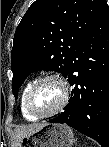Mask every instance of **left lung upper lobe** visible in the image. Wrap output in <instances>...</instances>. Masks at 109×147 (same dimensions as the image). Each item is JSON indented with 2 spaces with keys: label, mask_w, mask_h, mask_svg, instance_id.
Listing matches in <instances>:
<instances>
[{
  "label": "left lung upper lobe",
  "mask_w": 109,
  "mask_h": 147,
  "mask_svg": "<svg viewBox=\"0 0 109 147\" xmlns=\"http://www.w3.org/2000/svg\"><path fill=\"white\" fill-rule=\"evenodd\" d=\"M105 0H36L19 23L11 52L12 91L36 70L68 76L73 55L106 7Z\"/></svg>",
  "instance_id": "1"
}]
</instances>
